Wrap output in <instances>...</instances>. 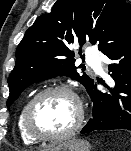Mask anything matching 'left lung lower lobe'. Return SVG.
<instances>
[{"label": "left lung lower lobe", "instance_id": "left-lung-lower-lobe-1", "mask_svg": "<svg viewBox=\"0 0 131 151\" xmlns=\"http://www.w3.org/2000/svg\"><path fill=\"white\" fill-rule=\"evenodd\" d=\"M111 64L109 74L115 82L109 92L97 90L95 82L88 89L94 102L92 118L81 130L131 131V37L105 54Z\"/></svg>", "mask_w": 131, "mask_h": 151}]
</instances>
